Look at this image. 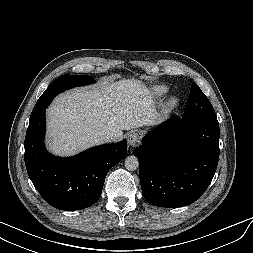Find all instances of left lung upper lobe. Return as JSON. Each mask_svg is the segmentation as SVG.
I'll list each match as a JSON object with an SVG mask.
<instances>
[{
    "label": "left lung upper lobe",
    "mask_w": 253,
    "mask_h": 253,
    "mask_svg": "<svg viewBox=\"0 0 253 253\" xmlns=\"http://www.w3.org/2000/svg\"><path fill=\"white\" fill-rule=\"evenodd\" d=\"M216 116L212 104L196 83H192L190 95L184 109V118Z\"/></svg>",
    "instance_id": "1"
}]
</instances>
